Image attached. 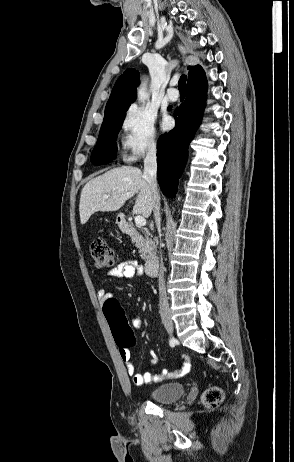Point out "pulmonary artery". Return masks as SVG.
<instances>
[{
	"label": "pulmonary artery",
	"instance_id": "obj_1",
	"mask_svg": "<svg viewBox=\"0 0 294 462\" xmlns=\"http://www.w3.org/2000/svg\"><path fill=\"white\" fill-rule=\"evenodd\" d=\"M175 85H176V81L175 80L171 81L170 87L168 88L167 93H166L167 99L171 102H175L179 99V92L175 88Z\"/></svg>",
	"mask_w": 294,
	"mask_h": 462
}]
</instances>
